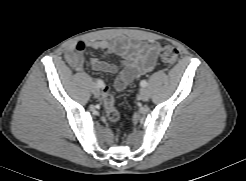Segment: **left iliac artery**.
<instances>
[{
	"mask_svg": "<svg viewBox=\"0 0 246 181\" xmlns=\"http://www.w3.org/2000/svg\"><path fill=\"white\" fill-rule=\"evenodd\" d=\"M147 81H145V80H142L141 82H140V86L141 87H146L147 86Z\"/></svg>",
	"mask_w": 246,
	"mask_h": 181,
	"instance_id": "1",
	"label": "left iliac artery"
}]
</instances>
